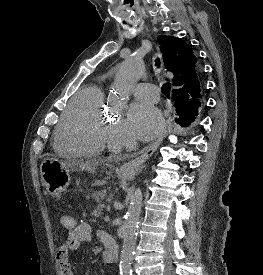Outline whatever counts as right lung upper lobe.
Segmentation results:
<instances>
[{"label": "right lung upper lobe", "instance_id": "right-lung-upper-lobe-1", "mask_svg": "<svg viewBox=\"0 0 263 275\" xmlns=\"http://www.w3.org/2000/svg\"><path fill=\"white\" fill-rule=\"evenodd\" d=\"M158 41L165 67L174 74V90L185 91L184 109L187 113H197L203 103L204 92L200 80L193 75L198 63L191 46L173 36L160 35Z\"/></svg>", "mask_w": 263, "mask_h": 275}]
</instances>
